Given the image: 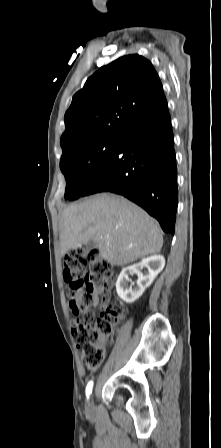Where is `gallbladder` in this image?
Listing matches in <instances>:
<instances>
[{"label": "gallbladder", "mask_w": 221, "mask_h": 448, "mask_svg": "<svg viewBox=\"0 0 221 448\" xmlns=\"http://www.w3.org/2000/svg\"><path fill=\"white\" fill-rule=\"evenodd\" d=\"M96 247V244L93 241H89L86 244H84L83 246V251H82V255L85 256L86 254L89 253V251H91L93 248Z\"/></svg>", "instance_id": "bac80fb5"}]
</instances>
